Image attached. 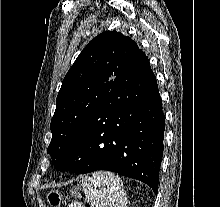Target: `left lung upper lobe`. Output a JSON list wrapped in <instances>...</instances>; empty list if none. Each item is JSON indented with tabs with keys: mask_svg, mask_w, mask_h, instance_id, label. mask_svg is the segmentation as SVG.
<instances>
[{
	"mask_svg": "<svg viewBox=\"0 0 220 207\" xmlns=\"http://www.w3.org/2000/svg\"><path fill=\"white\" fill-rule=\"evenodd\" d=\"M138 50L130 37L106 31L81 51L62 81L50 124L47 153L54 166L83 134Z\"/></svg>",
	"mask_w": 220,
	"mask_h": 207,
	"instance_id": "obj_1",
	"label": "left lung upper lobe"
}]
</instances>
